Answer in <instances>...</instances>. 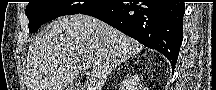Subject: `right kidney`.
Segmentation results:
<instances>
[{
	"mask_svg": "<svg viewBox=\"0 0 216 90\" xmlns=\"http://www.w3.org/2000/svg\"><path fill=\"white\" fill-rule=\"evenodd\" d=\"M134 80H136L137 84H134V86H138L140 84V78L138 76H135Z\"/></svg>",
	"mask_w": 216,
	"mask_h": 90,
	"instance_id": "ca27d5eb",
	"label": "right kidney"
}]
</instances>
